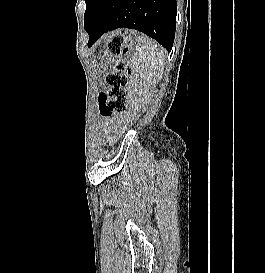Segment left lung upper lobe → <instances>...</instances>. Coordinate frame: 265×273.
Wrapping results in <instances>:
<instances>
[{
  "instance_id": "obj_1",
  "label": "left lung upper lobe",
  "mask_w": 265,
  "mask_h": 273,
  "mask_svg": "<svg viewBox=\"0 0 265 273\" xmlns=\"http://www.w3.org/2000/svg\"><path fill=\"white\" fill-rule=\"evenodd\" d=\"M88 0H85L86 2V11H85V14H84V17L87 15V11H88V3H87Z\"/></svg>"
}]
</instances>
